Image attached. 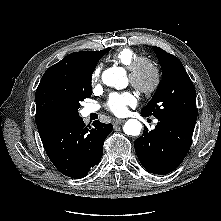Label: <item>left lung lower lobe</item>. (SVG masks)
I'll list each match as a JSON object with an SVG mask.
<instances>
[{
  "instance_id": "1",
  "label": "left lung lower lobe",
  "mask_w": 221,
  "mask_h": 221,
  "mask_svg": "<svg viewBox=\"0 0 221 221\" xmlns=\"http://www.w3.org/2000/svg\"><path fill=\"white\" fill-rule=\"evenodd\" d=\"M194 129H186L158 122L154 130L145 127L135 140L139 161L153 174L164 175L175 170L187 155Z\"/></svg>"
}]
</instances>
